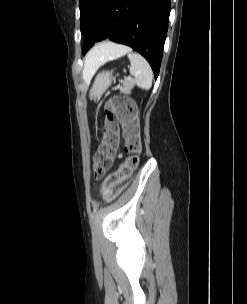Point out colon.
Wrapping results in <instances>:
<instances>
[{"instance_id": "colon-1", "label": "colon", "mask_w": 247, "mask_h": 304, "mask_svg": "<svg viewBox=\"0 0 247 304\" xmlns=\"http://www.w3.org/2000/svg\"><path fill=\"white\" fill-rule=\"evenodd\" d=\"M119 125L126 139V150L130 156L105 180L107 192L127 180L138 164L140 151V131L138 112L134 102L123 96L111 97L105 106V122L101 144L94 155L93 174L101 178L111 168L120 143ZM103 188V187H102Z\"/></svg>"}]
</instances>
